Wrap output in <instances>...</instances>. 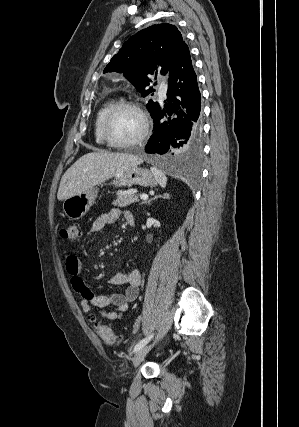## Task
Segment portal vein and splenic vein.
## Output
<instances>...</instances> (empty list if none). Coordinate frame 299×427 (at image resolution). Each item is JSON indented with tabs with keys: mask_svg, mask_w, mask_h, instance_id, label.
Segmentation results:
<instances>
[{
	"mask_svg": "<svg viewBox=\"0 0 299 427\" xmlns=\"http://www.w3.org/2000/svg\"><path fill=\"white\" fill-rule=\"evenodd\" d=\"M140 198H141L142 200H147V199H148V195H146V194H142V195H140Z\"/></svg>",
	"mask_w": 299,
	"mask_h": 427,
	"instance_id": "18ae733b",
	"label": "portal vein and splenic vein"
}]
</instances>
